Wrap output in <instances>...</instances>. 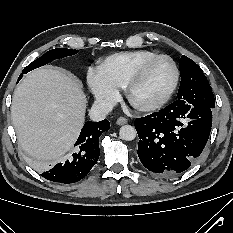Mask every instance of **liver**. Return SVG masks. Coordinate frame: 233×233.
<instances>
[{
  "mask_svg": "<svg viewBox=\"0 0 233 233\" xmlns=\"http://www.w3.org/2000/svg\"><path fill=\"white\" fill-rule=\"evenodd\" d=\"M86 98L82 86L67 72L39 68L14 91L11 117L22 149L38 161L61 158L84 123Z\"/></svg>",
  "mask_w": 233,
  "mask_h": 233,
  "instance_id": "obj_1",
  "label": "liver"
}]
</instances>
